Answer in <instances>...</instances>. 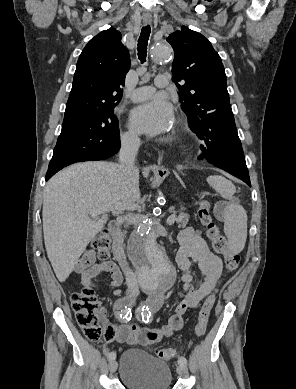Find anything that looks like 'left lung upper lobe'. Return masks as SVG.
<instances>
[{
	"label": "left lung upper lobe",
	"mask_w": 296,
	"mask_h": 389,
	"mask_svg": "<svg viewBox=\"0 0 296 389\" xmlns=\"http://www.w3.org/2000/svg\"><path fill=\"white\" fill-rule=\"evenodd\" d=\"M167 41L174 49L172 78L179 88L181 108L198 136L206 115L230 105L225 70L210 41L200 33L182 26Z\"/></svg>",
	"instance_id": "5c2ea615"
}]
</instances>
